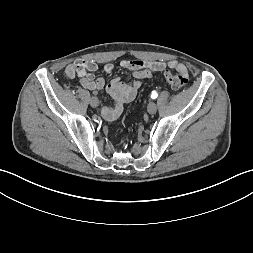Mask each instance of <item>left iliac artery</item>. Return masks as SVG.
<instances>
[{
    "label": "left iliac artery",
    "mask_w": 253,
    "mask_h": 253,
    "mask_svg": "<svg viewBox=\"0 0 253 253\" xmlns=\"http://www.w3.org/2000/svg\"><path fill=\"white\" fill-rule=\"evenodd\" d=\"M151 98H152V99L157 98V93H156L155 91H153V92H152V94H151Z\"/></svg>",
    "instance_id": "left-iliac-artery-1"
}]
</instances>
